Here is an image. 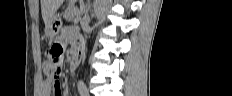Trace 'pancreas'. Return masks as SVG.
I'll list each match as a JSON object with an SVG mask.
<instances>
[{"label":"pancreas","mask_w":232,"mask_h":96,"mask_svg":"<svg viewBox=\"0 0 232 96\" xmlns=\"http://www.w3.org/2000/svg\"><path fill=\"white\" fill-rule=\"evenodd\" d=\"M80 15H81V10H79L74 5H69L63 15V18L67 21H72L73 19H75V17Z\"/></svg>","instance_id":"pancreas-1"}]
</instances>
